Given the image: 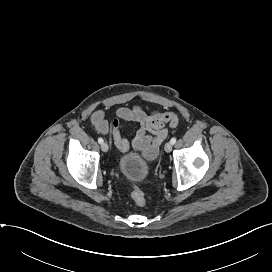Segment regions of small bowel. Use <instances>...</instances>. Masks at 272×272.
Listing matches in <instances>:
<instances>
[{"label":"small bowel","instance_id":"c3829d8e","mask_svg":"<svg viewBox=\"0 0 272 272\" xmlns=\"http://www.w3.org/2000/svg\"><path fill=\"white\" fill-rule=\"evenodd\" d=\"M125 122H134L140 125L132 141V146L144 157L152 160L157 156L160 145L168 135L166 126L176 128L179 118L172 111L160 112L154 110L147 113L140 106L121 107L117 111V119H115L112 127L102 123L99 125V130L102 133L110 132L114 144L122 153H126L130 149L127 138L122 134V124Z\"/></svg>","mask_w":272,"mask_h":272}]
</instances>
